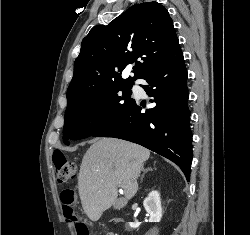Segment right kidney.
<instances>
[{
    "label": "right kidney",
    "instance_id": "1",
    "mask_svg": "<svg viewBox=\"0 0 250 235\" xmlns=\"http://www.w3.org/2000/svg\"><path fill=\"white\" fill-rule=\"evenodd\" d=\"M143 205L145 207L146 212L149 214V222H160L162 218V207L160 201V194L158 191H151L148 196L145 198ZM131 228L139 227L140 223L130 222Z\"/></svg>",
    "mask_w": 250,
    "mask_h": 235
}]
</instances>
